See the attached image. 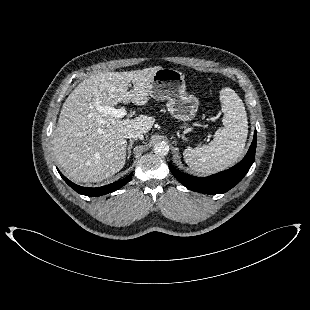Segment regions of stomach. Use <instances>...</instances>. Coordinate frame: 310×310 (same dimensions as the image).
Masks as SVG:
<instances>
[{
	"label": "stomach",
	"instance_id": "1",
	"mask_svg": "<svg viewBox=\"0 0 310 310\" xmlns=\"http://www.w3.org/2000/svg\"><path fill=\"white\" fill-rule=\"evenodd\" d=\"M150 96L156 100H166L168 112L183 122L193 119L199 106L197 97L186 92L183 73L173 68L161 67L155 72Z\"/></svg>",
	"mask_w": 310,
	"mask_h": 310
}]
</instances>
